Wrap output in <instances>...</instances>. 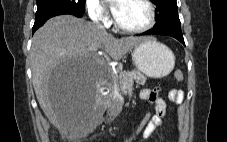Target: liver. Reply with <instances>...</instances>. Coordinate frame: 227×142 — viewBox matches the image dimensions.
Wrapping results in <instances>:
<instances>
[{
	"mask_svg": "<svg viewBox=\"0 0 227 142\" xmlns=\"http://www.w3.org/2000/svg\"><path fill=\"white\" fill-rule=\"evenodd\" d=\"M148 39L133 36L118 39L95 24L71 15L49 19L35 32L30 50L34 91L49 121L61 132L78 134L83 116L93 104H99L98 88L105 80L98 68L96 51L102 49L118 61ZM59 61H92L91 78H83L87 80L86 88H70L64 93V88H53L50 73Z\"/></svg>",
	"mask_w": 227,
	"mask_h": 142,
	"instance_id": "1",
	"label": "liver"
}]
</instances>
